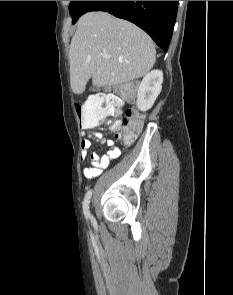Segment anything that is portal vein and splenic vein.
I'll return each mask as SVG.
<instances>
[{
    "label": "portal vein and splenic vein",
    "instance_id": "18ae733b",
    "mask_svg": "<svg viewBox=\"0 0 233 295\" xmlns=\"http://www.w3.org/2000/svg\"><path fill=\"white\" fill-rule=\"evenodd\" d=\"M103 58L107 59V58H109V56L108 55H103Z\"/></svg>",
    "mask_w": 233,
    "mask_h": 295
}]
</instances>
